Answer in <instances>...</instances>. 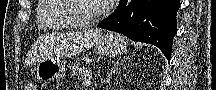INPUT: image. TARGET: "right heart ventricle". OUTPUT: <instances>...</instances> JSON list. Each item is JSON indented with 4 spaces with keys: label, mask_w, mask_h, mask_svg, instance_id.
<instances>
[{
    "label": "right heart ventricle",
    "mask_w": 216,
    "mask_h": 90,
    "mask_svg": "<svg viewBox=\"0 0 216 90\" xmlns=\"http://www.w3.org/2000/svg\"><path fill=\"white\" fill-rule=\"evenodd\" d=\"M40 7H36V25L38 29H66L79 28L75 23L68 20L67 15L62 14L64 2L68 0H39Z\"/></svg>",
    "instance_id": "e07e8e85"
}]
</instances>
